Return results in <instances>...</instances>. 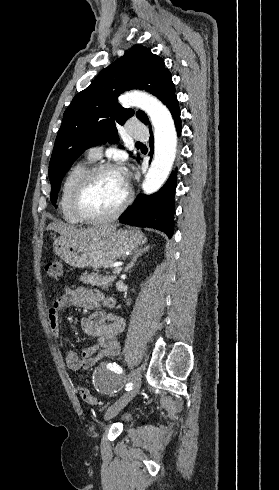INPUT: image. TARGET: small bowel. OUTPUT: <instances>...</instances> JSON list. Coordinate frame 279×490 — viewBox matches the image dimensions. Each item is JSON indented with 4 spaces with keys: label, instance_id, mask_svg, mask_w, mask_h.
<instances>
[{
    "label": "small bowel",
    "instance_id": "small-bowel-1",
    "mask_svg": "<svg viewBox=\"0 0 279 490\" xmlns=\"http://www.w3.org/2000/svg\"><path fill=\"white\" fill-rule=\"evenodd\" d=\"M69 306L92 311L81 319V328L86 334L96 337L98 344L85 348L81 357L74 350H67L65 360L68 368L72 371L88 369L105 358L117 357L120 354L118 336L124 330L125 322L111 311L116 306L115 299L95 288H67L54 300L47 313L48 326L56 337L61 334L60 313Z\"/></svg>",
    "mask_w": 279,
    "mask_h": 490
}]
</instances>
